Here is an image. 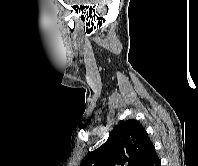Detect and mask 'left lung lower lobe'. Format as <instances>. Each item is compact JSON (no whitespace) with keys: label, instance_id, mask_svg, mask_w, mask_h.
<instances>
[{"label":"left lung lower lobe","instance_id":"0a47b994","mask_svg":"<svg viewBox=\"0 0 198 166\" xmlns=\"http://www.w3.org/2000/svg\"><path fill=\"white\" fill-rule=\"evenodd\" d=\"M160 165H161L160 159L158 155L155 154L147 166H160Z\"/></svg>","mask_w":198,"mask_h":166}]
</instances>
